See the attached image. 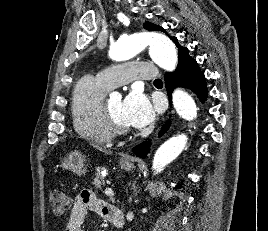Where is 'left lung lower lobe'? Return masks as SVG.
<instances>
[{
    "instance_id": "obj_1",
    "label": "left lung lower lobe",
    "mask_w": 268,
    "mask_h": 231,
    "mask_svg": "<svg viewBox=\"0 0 268 231\" xmlns=\"http://www.w3.org/2000/svg\"><path fill=\"white\" fill-rule=\"evenodd\" d=\"M165 84L168 91V96L171 100L172 90L176 86L191 89L204 102L207 96L206 81L203 72L200 70L198 63L192 57L188 58L182 66L176 69L173 73L165 75ZM170 123H167L160 131L159 136L163 135L169 128ZM149 142H143L133 149V152L141 157L146 158L149 152ZM178 188L180 185L177 186Z\"/></svg>"
}]
</instances>
